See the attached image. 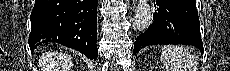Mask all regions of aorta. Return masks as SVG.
Instances as JSON below:
<instances>
[{"label":"aorta","instance_id":"1","mask_svg":"<svg viewBox=\"0 0 230 71\" xmlns=\"http://www.w3.org/2000/svg\"><path fill=\"white\" fill-rule=\"evenodd\" d=\"M153 13L147 0H139L134 15V27L140 32H144L151 25Z\"/></svg>","mask_w":230,"mask_h":71}]
</instances>
